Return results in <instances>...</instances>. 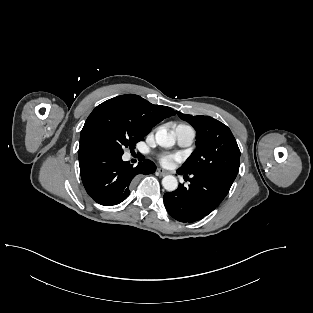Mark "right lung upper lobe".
<instances>
[{
  "mask_svg": "<svg viewBox=\"0 0 313 313\" xmlns=\"http://www.w3.org/2000/svg\"><path fill=\"white\" fill-rule=\"evenodd\" d=\"M109 109L128 115L147 133L163 119L175 115L172 108L151 104L138 95L127 94L109 99L97 106L87 118L80 135L79 156L96 150L94 130L101 116Z\"/></svg>",
  "mask_w": 313,
  "mask_h": 313,
  "instance_id": "1",
  "label": "right lung upper lobe"
}]
</instances>
